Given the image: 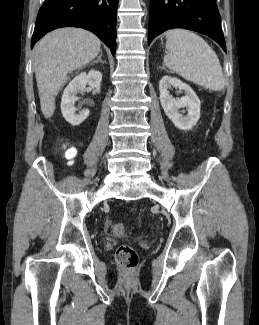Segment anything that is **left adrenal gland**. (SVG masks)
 Segmentation results:
<instances>
[{
    "instance_id": "left-adrenal-gland-1",
    "label": "left adrenal gland",
    "mask_w": 259,
    "mask_h": 325,
    "mask_svg": "<svg viewBox=\"0 0 259 325\" xmlns=\"http://www.w3.org/2000/svg\"><path fill=\"white\" fill-rule=\"evenodd\" d=\"M162 69H164V70H165V67L163 66V67H162Z\"/></svg>"
}]
</instances>
